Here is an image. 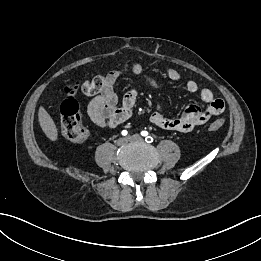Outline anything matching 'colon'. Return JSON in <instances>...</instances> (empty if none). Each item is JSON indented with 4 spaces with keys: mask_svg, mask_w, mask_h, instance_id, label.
<instances>
[{
    "mask_svg": "<svg viewBox=\"0 0 261 261\" xmlns=\"http://www.w3.org/2000/svg\"><path fill=\"white\" fill-rule=\"evenodd\" d=\"M103 86V76H95L91 80L78 82L65 88V97L60 106L61 131L63 135L72 141H82L88 136L87 129L82 124L79 103L76 99V92L81 89L87 93H97ZM226 122V117H221L212 122L209 131H217Z\"/></svg>",
    "mask_w": 261,
    "mask_h": 261,
    "instance_id": "colon-1",
    "label": "colon"
}]
</instances>
